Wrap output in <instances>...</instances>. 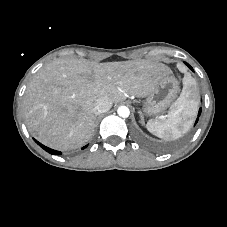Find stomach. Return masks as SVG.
Wrapping results in <instances>:
<instances>
[{
  "instance_id": "1",
  "label": "stomach",
  "mask_w": 227,
  "mask_h": 227,
  "mask_svg": "<svg viewBox=\"0 0 227 227\" xmlns=\"http://www.w3.org/2000/svg\"><path fill=\"white\" fill-rule=\"evenodd\" d=\"M179 91V82L175 77H163L147 96L143 112L149 116L164 112L174 102Z\"/></svg>"
}]
</instances>
